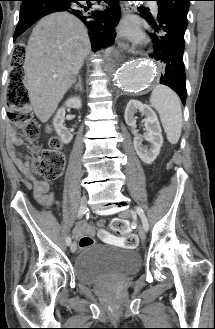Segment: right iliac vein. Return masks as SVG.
Masks as SVG:
<instances>
[{"label":"right iliac vein","instance_id":"obj_1","mask_svg":"<svg viewBox=\"0 0 215 329\" xmlns=\"http://www.w3.org/2000/svg\"><path fill=\"white\" fill-rule=\"evenodd\" d=\"M80 206L81 208L83 209H86V206H87V198L86 197H82L81 201H80ZM70 250L72 253H75L76 250H77V245L75 242H73L70 246Z\"/></svg>","mask_w":215,"mask_h":329}]
</instances>
